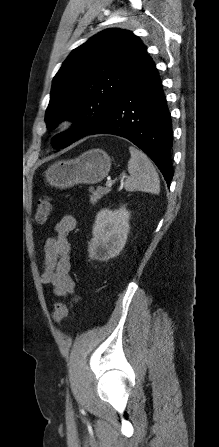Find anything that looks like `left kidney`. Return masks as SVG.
<instances>
[{
    "mask_svg": "<svg viewBox=\"0 0 219 447\" xmlns=\"http://www.w3.org/2000/svg\"><path fill=\"white\" fill-rule=\"evenodd\" d=\"M130 213L125 208L118 210L102 209L96 215L93 238L89 242L88 252L91 258L106 261L123 249L129 226Z\"/></svg>",
    "mask_w": 219,
    "mask_h": 447,
    "instance_id": "1",
    "label": "left kidney"
}]
</instances>
